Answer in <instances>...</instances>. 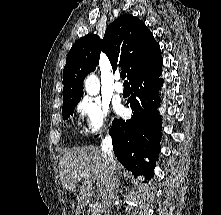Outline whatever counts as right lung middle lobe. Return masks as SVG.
<instances>
[{
  "instance_id": "dd1d6c3e",
  "label": "right lung middle lobe",
  "mask_w": 221,
  "mask_h": 215,
  "mask_svg": "<svg viewBox=\"0 0 221 215\" xmlns=\"http://www.w3.org/2000/svg\"><path fill=\"white\" fill-rule=\"evenodd\" d=\"M79 101H70L63 103L62 114L64 119H68L70 115H73L74 109Z\"/></svg>"
}]
</instances>
